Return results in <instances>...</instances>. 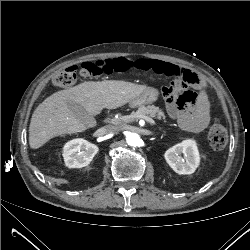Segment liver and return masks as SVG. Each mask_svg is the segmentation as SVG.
<instances>
[{"mask_svg":"<svg viewBox=\"0 0 250 250\" xmlns=\"http://www.w3.org/2000/svg\"><path fill=\"white\" fill-rule=\"evenodd\" d=\"M146 85L120 80L87 81L69 89L58 91L46 98L33 112L29 126V145L38 149L50 139L83 132L95 125L93 116L104 108L116 109L139 96ZM81 104L91 115L84 123L69 110L67 102Z\"/></svg>","mask_w":250,"mask_h":250,"instance_id":"6515ba94","label":"liver"}]
</instances>
